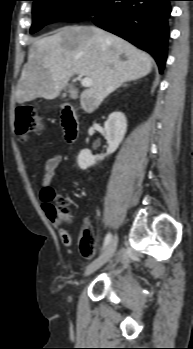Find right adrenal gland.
I'll use <instances>...</instances> for the list:
<instances>
[{
	"label": "right adrenal gland",
	"mask_w": 193,
	"mask_h": 349,
	"mask_svg": "<svg viewBox=\"0 0 193 349\" xmlns=\"http://www.w3.org/2000/svg\"><path fill=\"white\" fill-rule=\"evenodd\" d=\"M123 86L125 87V86H127V84H124Z\"/></svg>",
	"instance_id": "obj_1"
}]
</instances>
